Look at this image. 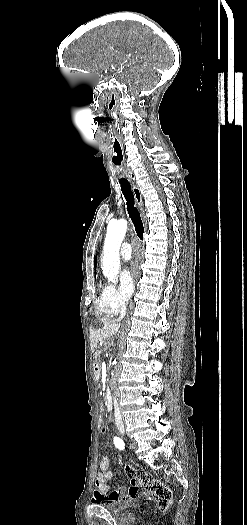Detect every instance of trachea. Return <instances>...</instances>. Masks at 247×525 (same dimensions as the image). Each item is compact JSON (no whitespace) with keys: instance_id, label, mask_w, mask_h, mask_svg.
Wrapping results in <instances>:
<instances>
[{"instance_id":"3493384b","label":"trachea","mask_w":247,"mask_h":525,"mask_svg":"<svg viewBox=\"0 0 247 525\" xmlns=\"http://www.w3.org/2000/svg\"><path fill=\"white\" fill-rule=\"evenodd\" d=\"M122 194L126 200L127 211L132 220L137 236L143 240L144 225L138 209L135 207L134 193L129 182H120Z\"/></svg>"}]
</instances>
